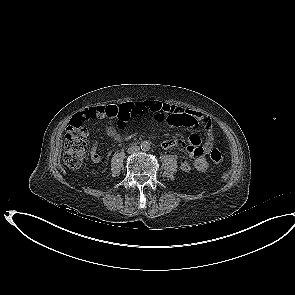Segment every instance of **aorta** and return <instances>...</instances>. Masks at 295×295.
Masks as SVG:
<instances>
[{
    "label": "aorta",
    "mask_w": 295,
    "mask_h": 295,
    "mask_svg": "<svg viewBox=\"0 0 295 295\" xmlns=\"http://www.w3.org/2000/svg\"><path fill=\"white\" fill-rule=\"evenodd\" d=\"M141 149H142L143 151H149V149H150V142H148V141H143V142L141 143Z\"/></svg>",
    "instance_id": "762f6f07"
}]
</instances>
